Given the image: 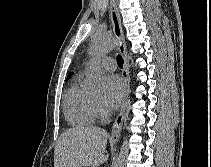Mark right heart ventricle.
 <instances>
[{
	"mask_svg": "<svg viewBox=\"0 0 211 167\" xmlns=\"http://www.w3.org/2000/svg\"><path fill=\"white\" fill-rule=\"evenodd\" d=\"M83 73H79L68 88L64 97V114L67 121L76 126L91 125L96 120L93 97L83 84Z\"/></svg>",
	"mask_w": 211,
	"mask_h": 167,
	"instance_id": "1",
	"label": "right heart ventricle"
}]
</instances>
